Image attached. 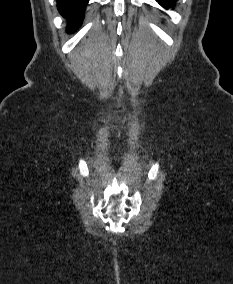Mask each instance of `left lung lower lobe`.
<instances>
[{"instance_id":"0a47b994","label":"left lung lower lobe","mask_w":233,"mask_h":284,"mask_svg":"<svg viewBox=\"0 0 233 284\" xmlns=\"http://www.w3.org/2000/svg\"><path fill=\"white\" fill-rule=\"evenodd\" d=\"M161 6L164 8H174L175 6V0H156Z\"/></svg>"}]
</instances>
